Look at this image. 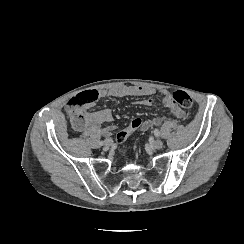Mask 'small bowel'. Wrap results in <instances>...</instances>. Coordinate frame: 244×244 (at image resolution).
Masks as SVG:
<instances>
[{
	"instance_id": "1",
	"label": "small bowel",
	"mask_w": 244,
	"mask_h": 244,
	"mask_svg": "<svg viewBox=\"0 0 244 244\" xmlns=\"http://www.w3.org/2000/svg\"><path fill=\"white\" fill-rule=\"evenodd\" d=\"M157 91L150 87H139V86H115L107 89H102L98 93V96L102 99L109 98H121V97H145L138 101L139 104L144 106H151L153 104V99L150 97L154 95ZM162 105L166 108L170 114L177 119L186 118V111L177 106L171 97L168 90H160ZM86 114L87 127L86 129H96L102 123H110L113 120V116L110 110H102L97 112L88 111L89 106L82 108ZM133 121V120H131ZM164 122L163 116H156L151 119L145 120V122L138 126L137 130H149L153 127L159 126ZM116 129L114 125H109L105 128L106 132H113ZM85 130V129H84ZM84 130H76L78 132ZM136 130V131H137Z\"/></svg>"
}]
</instances>
